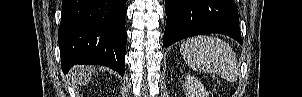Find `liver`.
Returning <instances> with one entry per match:
<instances>
[{"instance_id":"obj_1","label":"liver","mask_w":302,"mask_h":97,"mask_svg":"<svg viewBox=\"0 0 302 97\" xmlns=\"http://www.w3.org/2000/svg\"><path fill=\"white\" fill-rule=\"evenodd\" d=\"M94 73V67L90 66H77L73 69V79L80 85H86L91 81L92 75Z\"/></svg>"}]
</instances>
